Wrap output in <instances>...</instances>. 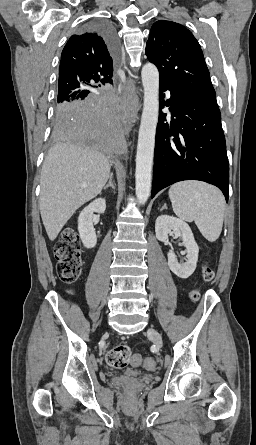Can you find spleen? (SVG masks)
I'll list each match as a JSON object with an SVG mask.
<instances>
[{
    "label": "spleen",
    "mask_w": 256,
    "mask_h": 445,
    "mask_svg": "<svg viewBox=\"0 0 256 445\" xmlns=\"http://www.w3.org/2000/svg\"><path fill=\"white\" fill-rule=\"evenodd\" d=\"M168 194L180 219L194 221L210 242L219 238L225 211V199L219 189L203 182L183 181L173 184Z\"/></svg>",
    "instance_id": "3e777b00"
}]
</instances>
